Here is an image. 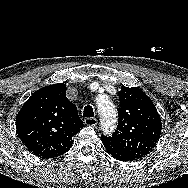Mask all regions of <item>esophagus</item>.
<instances>
[{"label": "esophagus", "instance_id": "1", "mask_svg": "<svg viewBox=\"0 0 188 188\" xmlns=\"http://www.w3.org/2000/svg\"><path fill=\"white\" fill-rule=\"evenodd\" d=\"M84 123L88 126H96L98 123V120L96 118H86L84 120Z\"/></svg>", "mask_w": 188, "mask_h": 188}]
</instances>
